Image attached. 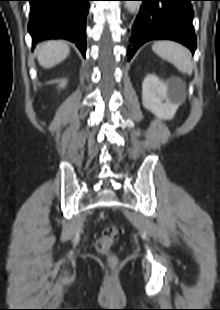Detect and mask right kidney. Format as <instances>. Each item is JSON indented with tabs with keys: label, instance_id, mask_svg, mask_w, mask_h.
I'll return each mask as SVG.
<instances>
[{
	"label": "right kidney",
	"instance_id": "1",
	"mask_svg": "<svg viewBox=\"0 0 220 310\" xmlns=\"http://www.w3.org/2000/svg\"><path fill=\"white\" fill-rule=\"evenodd\" d=\"M65 85H66V81H62L60 84L61 87H64Z\"/></svg>",
	"mask_w": 220,
	"mask_h": 310
}]
</instances>
